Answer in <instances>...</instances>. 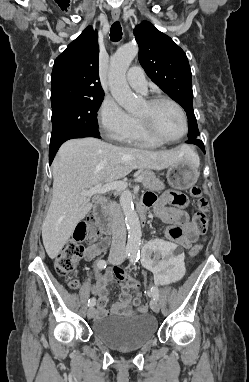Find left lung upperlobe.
<instances>
[{"label":"left lung upper lobe","instance_id":"5c2ea615","mask_svg":"<svg viewBox=\"0 0 249 382\" xmlns=\"http://www.w3.org/2000/svg\"><path fill=\"white\" fill-rule=\"evenodd\" d=\"M139 62L149 78L187 113L188 138H198L193 110L192 74L185 52L173 40L144 21L134 30Z\"/></svg>","mask_w":249,"mask_h":382}]
</instances>
